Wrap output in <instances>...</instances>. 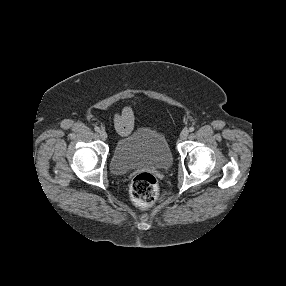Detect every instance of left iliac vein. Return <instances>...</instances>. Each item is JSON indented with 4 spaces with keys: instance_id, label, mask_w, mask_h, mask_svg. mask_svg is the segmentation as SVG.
Returning a JSON list of instances; mask_svg holds the SVG:
<instances>
[{
    "instance_id": "1",
    "label": "left iliac vein",
    "mask_w": 286,
    "mask_h": 286,
    "mask_svg": "<svg viewBox=\"0 0 286 286\" xmlns=\"http://www.w3.org/2000/svg\"><path fill=\"white\" fill-rule=\"evenodd\" d=\"M188 135H189V131L184 129L180 134V139L185 140L188 137Z\"/></svg>"
}]
</instances>
